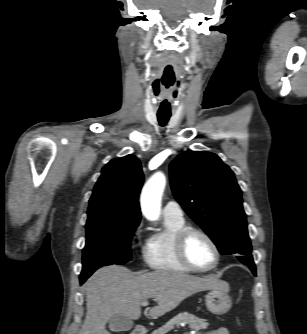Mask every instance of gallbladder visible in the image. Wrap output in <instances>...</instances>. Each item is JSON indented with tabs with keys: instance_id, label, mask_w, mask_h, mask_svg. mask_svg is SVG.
Here are the masks:
<instances>
[{
	"instance_id": "bac80fb5",
	"label": "gallbladder",
	"mask_w": 307,
	"mask_h": 334,
	"mask_svg": "<svg viewBox=\"0 0 307 334\" xmlns=\"http://www.w3.org/2000/svg\"><path fill=\"white\" fill-rule=\"evenodd\" d=\"M133 327V322L128 317L116 314L109 319V328L114 332L129 331Z\"/></svg>"
}]
</instances>
